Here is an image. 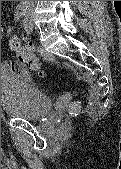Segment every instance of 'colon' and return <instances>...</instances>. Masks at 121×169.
I'll list each match as a JSON object with an SVG mask.
<instances>
[{
	"instance_id": "obj_1",
	"label": "colon",
	"mask_w": 121,
	"mask_h": 169,
	"mask_svg": "<svg viewBox=\"0 0 121 169\" xmlns=\"http://www.w3.org/2000/svg\"><path fill=\"white\" fill-rule=\"evenodd\" d=\"M10 47L16 52L19 61L27 64L32 70L41 71L40 60L34 55L29 45L22 43L19 37H13L10 40Z\"/></svg>"
}]
</instances>
